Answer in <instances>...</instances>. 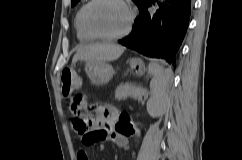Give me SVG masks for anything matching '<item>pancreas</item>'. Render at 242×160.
<instances>
[{
  "label": "pancreas",
  "mask_w": 242,
  "mask_h": 160,
  "mask_svg": "<svg viewBox=\"0 0 242 160\" xmlns=\"http://www.w3.org/2000/svg\"><path fill=\"white\" fill-rule=\"evenodd\" d=\"M143 94L144 90L141 87L129 83L121 84L115 90V98L117 100L127 99L128 97L140 99Z\"/></svg>",
  "instance_id": "obj_1"
}]
</instances>
